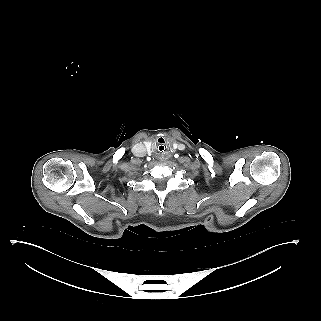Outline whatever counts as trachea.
<instances>
[{"label": "trachea", "mask_w": 321, "mask_h": 321, "mask_svg": "<svg viewBox=\"0 0 321 321\" xmlns=\"http://www.w3.org/2000/svg\"><path fill=\"white\" fill-rule=\"evenodd\" d=\"M153 155L156 158H163L166 155V147L163 144H156L153 147Z\"/></svg>", "instance_id": "trachea-1"}]
</instances>
